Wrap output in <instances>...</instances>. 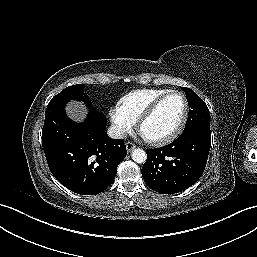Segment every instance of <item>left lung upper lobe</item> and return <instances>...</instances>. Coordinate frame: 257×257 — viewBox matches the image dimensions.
I'll use <instances>...</instances> for the list:
<instances>
[{"instance_id": "obj_1", "label": "left lung upper lobe", "mask_w": 257, "mask_h": 257, "mask_svg": "<svg viewBox=\"0 0 257 257\" xmlns=\"http://www.w3.org/2000/svg\"><path fill=\"white\" fill-rule=\"evenodd\" d=\"M189 104V115L183 132L192 129L210 131V113L204 101L190 88L183 87Z\"/></svg>"}]
</instances>
